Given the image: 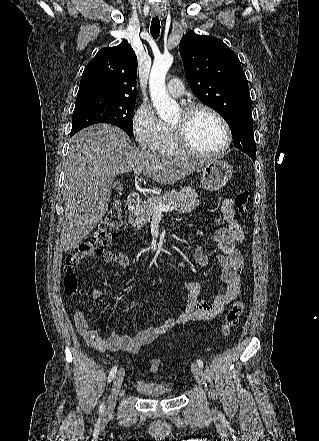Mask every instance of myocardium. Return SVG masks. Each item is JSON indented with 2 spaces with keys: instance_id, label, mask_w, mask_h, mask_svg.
Returning <instances> with one entry per match:
<instances>
[{
  "instance_id": "obj_1",
  "label": "myocardium",
  "mask_w": 319,
  "mask_h": 441,
  "mask_svg": "<svg viewBox=\"0 0 319 441\" xmlns=\"http://www.w3.org/2000/svg\"><path fill=\"white\" fill-rule=\"evenodd\" d=\"M181 118L177 123L169 124L177 148L185 155L197 158H213L225 153L232 143V132L227 120L215 109L203 104H191L181 109ZM199 112H207L214 116L223 126L226 141L222 148L214 152H202L192 146L188 138L190 124Z\"/></svg>"
}]
</instances>
